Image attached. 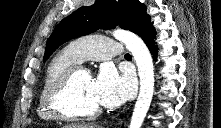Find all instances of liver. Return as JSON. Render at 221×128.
<instances>
[{
	"label": "liver",
	"mask_w": 221,
	"mask_h": 128,
	"mask_svg": "<svg viewBox=\"0 0 221 128\" xmlns=\"http://www.w3.org/2000/svg\"><path fill=\"white\" fill-rule=\"evenodd\" d=\"M64 128H97V127L92 124H69L66 125Z\"/></svg>",
	"instance_id": "6515ba94"
}]
</instances>
